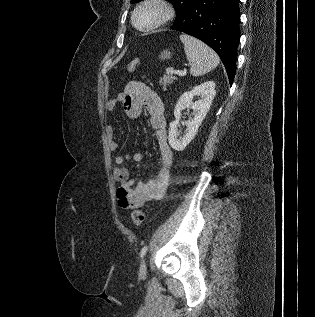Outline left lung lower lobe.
Wrapping results in <instances>:
<instances>
[{
    "mask_svg": "<svg viewBox=\"0 0 315 317\" xmlns=\"http://www.w3.org/2000/svg\"><path fill=\"white\" fill-rule=\"evenodd\" d=\"M239 0H194L171 29L194 36L220 56L232 85L240 41Z\"/></svg>",
    "mask_w": 315,
    "mask_h": 317,
    "instance_id": "obj_1",
    "label": "left lung lower lobe"
}]
</instances>
